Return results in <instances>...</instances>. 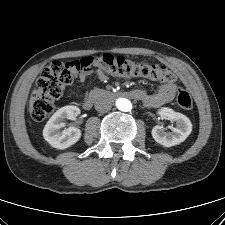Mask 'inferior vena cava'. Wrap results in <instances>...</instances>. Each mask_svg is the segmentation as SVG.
Returning a JSON list of instances; mask_svg holds the SVG:
<instances>
[{"mask_svg":"<svg viewBox=\"0 0 225 225\" xmlns=\"http://www.w3.org/2000/svg\"><path fill=\"white\" fill-rule=\"evenodd\" d=\"M112 108V103L109 99L100 97L95 102V109L100 113H106Z\"/></svg>","mask_w":225,"mask_h":225,"instance_id":"obj_1","label":"inferior vena cava"}]
</instances>
